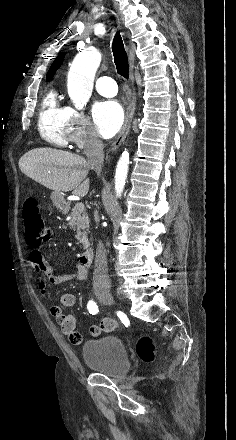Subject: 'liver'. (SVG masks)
<instances>
[{
    "mask_svg": "<svg viewBox=\"0 0 236 440\" xmlns=\"http://www.w3.org/2000/svg\"><path fill=\"white\" fill-rule=\"evenodd\" d=\"M19 168L27 177L53 191L84 197L89 191L90 169L85 158L50 147L35 148L19 159Z\"/></svg>",
    "mask_w": 236,
    "mask_h": 440,
    "instance_id": "obj_1",
    "label": "liver"
}]
</instances>
